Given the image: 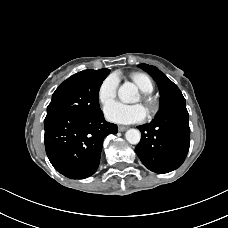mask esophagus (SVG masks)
<instances>
[{
    "instance_id": "obj_1",
    "label": "esophagus",
    "mask_w": 228,
    "mask_h": 228,
    "mask_svg": "<svg viewBox=\"0 0 228 228\" xmlns=\"http://www.w3.org/2000/svg\"><path fill=\"white\" fill-rule=\"evenodd\" d=\"M128 129V127H126V126H118V130L120 131V132H123V131H125V130H127Z\"/></svg>"
}]
</instances>
